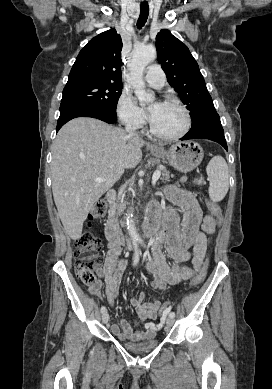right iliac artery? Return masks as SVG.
Masks as SVG:
<instances>
[{
	"mask_svg": "<svg viewBox=\"0 0 272 389\" xmlns=\"http://www.w3.org/2000/svg\"><path fill=\"white\" fill-rule=\"evenodd\" d=\"M134 247H135V254H134L133 265H136L138 263V261H139V251H138V246H137L136 243L134 244ZM105 311H106V307L102 306L101 307V313H104Z\"/></svg>",
	"mask_w": 272,
	"mask_h": 389,
	"instance_id": "1",
	"label": "right iliac artery"
}]
</instances>
